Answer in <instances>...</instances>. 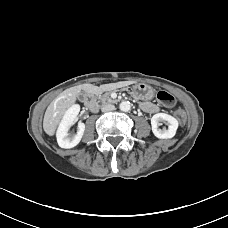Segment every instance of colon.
Wrapping results in <instances>:
<instances>
[{"mask_svg":"<svg viewBox=\"0 0 228 228\" xmlns=\"http://www.w3.org/2000/svg\"><path fill=\"white\" fill-rule=\"evenodd\" d=\"M157 99L160 103H162L165 106H173L175 104V98L166 91H159L157 93ZM175 116L181 124H184L186 122L187 116L186 112L183 109H176Z\"/></svg>","mask_w":228,"mask_h":228,"instance_id":"obj_1","label":"colon"}]
</instances>
